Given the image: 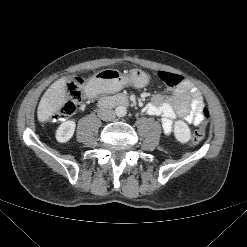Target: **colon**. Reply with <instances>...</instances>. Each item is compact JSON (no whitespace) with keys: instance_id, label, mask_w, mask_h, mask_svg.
Instances as JSON below:
<instances>
[{"instance_id":"obj_1","label":"colon","mask_w":247,"mask_h":247,"mask_svg":"<svg viewBox=\"0 0 247 247\" xmlns=\"http://www.w3.org/2000/svg\"><path fill=\"white\" fill-rule=\"evenodd\" d=\"M158 77L160 81L168 87H175L183 81L182 76L167 71H160L158 73ZM83 85L84 80L80 77H71L68 79L66 83V100L54 113L52 117L53 121L60 122L74 114L77 105L82 100ZM209 117V111L207 108H205L203 112V122L194 132L191 140L192 144H197L204 139Z\"/></svg>"}]
</instances>
